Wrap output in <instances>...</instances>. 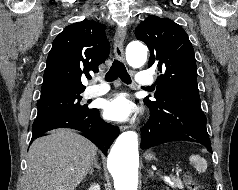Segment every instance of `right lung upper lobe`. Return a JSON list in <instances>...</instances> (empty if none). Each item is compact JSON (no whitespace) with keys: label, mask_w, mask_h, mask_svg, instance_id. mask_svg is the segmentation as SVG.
Masks as SVG:
<instances>
[{"label":"right lung upper lobe","mask_w":238,"mask_h":190,"mask_svg":"<svg viewBox=\"0 0 238 190\" xmlns=\"http://www.w3.org/2000/svg\"><path fill=\"white\" fill-rule=\"evenodd\" d=\"M105 26L84 20L67 26L54 39L46 62L40 99L82 93L81 75L98 71L109 55Z\"/></svg>","instance_id":"1"}]
</instances>
